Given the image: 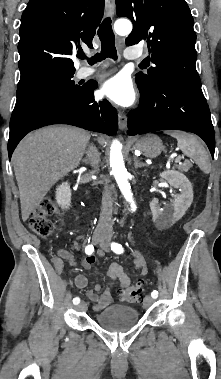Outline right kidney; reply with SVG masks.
Listing matches in <instances>:
<instances>
[{
	"label": "right kidney",
	"mask_w": 221,
	"mask_h": 379,
	"mask_svg": "<svg viewBox=\"0 0 221 379\" xmlns=\"http://www.w3.org/2000/svg\"><path fill=\"white\" fill-rule=\"evenodd\" d=\"M56 201L62 208H69L71 203V190L68 182H63L57 187Z\"/></svg>",
	"instance_id": "right-kidney-1"
}]
</instances>
